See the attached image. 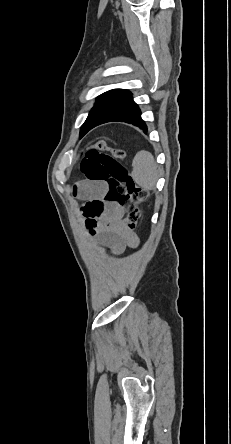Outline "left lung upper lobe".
Masks as SVG:
<instances>
[{"instance_id":"left-lung-upper-lobe-1","label":"left lung upper lobe","mask_w":231,"mask_h":444,"mask_svg":"<svg viewBox=\"0 0 231 444\" xmlns=\"http://www.w3.org/2000/svg\"><path fill=\"white\" fill-rule=\"evenodd\" d=\"M132 96L127 90L113 89L101 94L81 127L80 136H84L91 125L116 115Z\"/></svg>"}]
</instances>
